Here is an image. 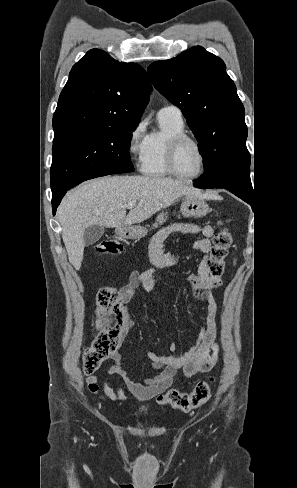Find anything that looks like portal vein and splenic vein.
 Wrapping results in <instances>:
<instances>
[{
  "mask_svg": "<svg viewBox=\"0 0 297 488\" xmlns=\"http://www.w3.org/2000/svg\"><path fill=\"white\" fill-rule=\"evenodd\" d=\"M136 206V201L129 202L127 205H125L126 208H133Z\"/></svg>",
  "mask_w": 297,
  "mask_h": 488,
  "instance_id": "obj_1",
  "label": "portal vein and splenic vein"
}]
</instances>
